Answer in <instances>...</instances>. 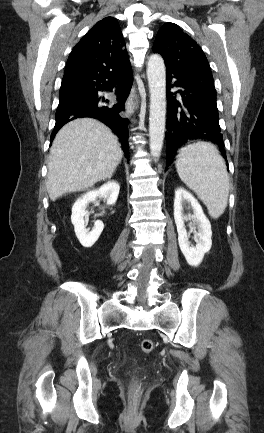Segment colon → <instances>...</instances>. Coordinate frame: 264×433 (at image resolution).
I'll return each instance as SVG.
<instances>
[{
	"mask_svg": "<svg viewBox=\"0 0 264 433\" xmlns=\"http://www.w3.org/2000/svg\"><path fill=\"white\" fill-rule=\"evenodd\" d=\"M154 342L150 339H144L140 343V349L143 353H151L154 350Z\"/></svg>",
	"mask_w": 264,
	"mask_h": 433,
	"instance_id": "1",
	"label": "colon"
}]
</instances>
